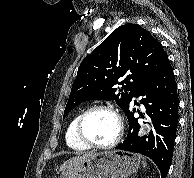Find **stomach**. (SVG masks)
I'll return each instance as SVG.
<instances>
[{"instance_id": "1", "label": "stomach", "mask_w": 194, "mask_h": 178, "mask_svg": "<svg viewBox=\"0 0 194 178\" xmlns=\"http://www.w3.org/2000/svg\"><path fill=\"white\" fill-rule=\"evenodd\" d=\"M139 156L124 151H104L63 171L59 178H127L139 167Z\"/></svg>"}]
</instances>
